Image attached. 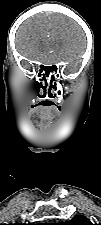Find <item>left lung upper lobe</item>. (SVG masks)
<instances>
[{"instance_id": "obj_1", "label": "left lung upper lobe", "mask_w": 101, "mask_h": 225, "mask_svg": "<svg viewBox=\"0 0 101 225\" xmlns=\"http://www.w3.org/2000/svg\"><path fill=\"white\" fill-rule=\"evenodd\" d=\"M55 225H93V224L85 216L78 215V216H75L70 221L59 222Z\"/></svg>"}]
</instances>
